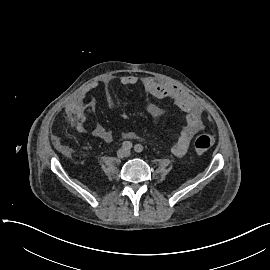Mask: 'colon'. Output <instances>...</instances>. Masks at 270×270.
<instances>
[{
  "label": "colon",
  "instance_id": "5ec220e1",
  "mask_svg": "<svg viewBox=\"0 0 270 270\" xmlns=\"http://www.w3.org/2000/svg\"><path fill=\"white\" fill-rule=\"evenodd\" d=\"M213 145V138L209 134H199L194 139V146L196 151L204 153L208 151Z\"/></svg>",
  "mask_w": 270,
  "mask_h": 270
}]
</instances>
